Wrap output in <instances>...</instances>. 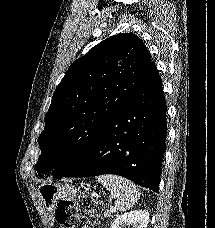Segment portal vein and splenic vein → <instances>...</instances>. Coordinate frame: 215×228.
Segmentation results:
<instances>
[{
    "mask_svg": "<svg viewBox=\"0 0 215 228\" xmlns=\"http://www.w3.org/2000/svg\"><path fill=\"white\" fill-rule=\"evenodd\" d=\"M110 212H115V208H112V206H110Z\"/></svg>",
    "mask_w": 215,
    "mask_h": 228,
    "instance_id": "18ae733b",
    "label": "portal vein and splenic vein"
}]
</instances>
